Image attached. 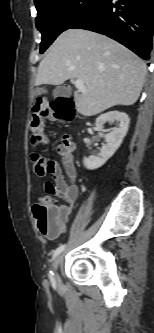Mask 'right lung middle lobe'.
<instances>
[{
	"label": "right lung middle lobe",
	"mask_w": 154,
	"mask_h": 333,
	"mask_svg": "<svg viewBox=\"0 0 154 333\" xmlns=\"http://www.w3.org/2000/svg\"><path fill=\"white\" fill-rule=\"evenodd\" d=\"M101 0H39L36 27L42 33L43 53L63 31L88 16Z\"/></svg>",
	"instance_id": "1"
}]
</instances>
